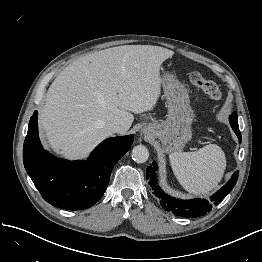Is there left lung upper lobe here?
I'll use <instances>...</instances> for the list:
<instances>
[{"label":"left lung upper lobe","instance_id":"5c2ea615","mask_svg":"<svg viewBox=\"0 0 262 262\" xmlns=\"http://www.w3.org/2000/svg\"><path fill=\"white\" fill-rule=\"evenodd\" d=\"M231 117H235V119H237V113L233 112V114L231 115ZM238 120V119H237Z\"/></svg>","mask_w":262,"mask_h":262}]
</instances>
